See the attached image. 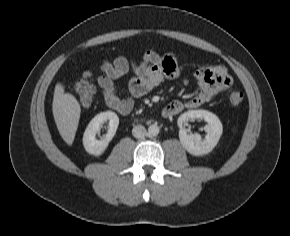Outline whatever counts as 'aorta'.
Masks as SVG:
<instances>
[{
  "label": "aorta",
  "mask_w": 290,
  "mask_h": 236,
  "mask_svg": "<svg viewBox=\"0 0 290 236\" xmlns=\"http://www.w3.org/2000/svg\"><path fill=\"white\" fill-rule=\"evenodd\" d=\"M148 134L151 136H157L159 134V127L156 124H152L148 127Z\"/></svg>",
  "instance_id": "1"
}]
</instances>
